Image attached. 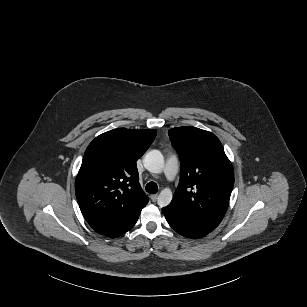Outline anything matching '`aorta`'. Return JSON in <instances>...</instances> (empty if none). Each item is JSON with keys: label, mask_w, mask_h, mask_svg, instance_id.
Segmentation results:
<instances>
[{"label": "aorta", "mask_w": 307, "mask_h": 307, "mask_svg": "<svg viewBox=\"0 0 307 307\" xmlns=\"http://www.w3.org/2000/svg\"><path fill=\"white\" fill-rule=\"evenodd\" d=\"M145 168L154 173L161 172L164 167L163 154L158 149H152L145 154L144 157ZM172 193L166 189L161 191L157 197V204L160 208L166 207L171 203Z\"/></svg>", "instance_id": "1"}]
</instances>
